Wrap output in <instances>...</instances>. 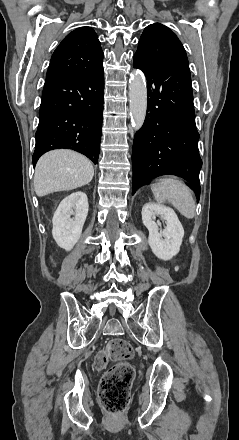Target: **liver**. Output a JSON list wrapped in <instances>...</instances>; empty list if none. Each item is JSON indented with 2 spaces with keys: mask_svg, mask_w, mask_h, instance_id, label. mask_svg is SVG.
Returning a JSON list of instances; mask_svg holds the SVG:
<instances>
[{
  "mask_svg": "<svg viewBox=\"0 0 239 440\" xmlns=\"http://www.w3.org/2000/svg\"><path fill=\"white\" fill-rule=\"evenodd\" d=\"M94 168L85 156L73 150H52L38 160L34 174L37 196L75 190L91 182Z\"/></svg>",
  "mask_w": 239,
  "mask_h": 440,
  "instance_id": "6515ba94",
  "label": "liver"
}]
</instances>
